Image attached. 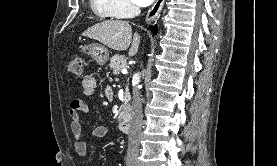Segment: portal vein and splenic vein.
<instances>
[{
    "mask_svg": "<svg viewBox=\"0 0 277 166\" xmlns=\"http://www.w3.org/2000/svg\"><path fill=\"white\" fill-rule=\"evenodd\" d=\"M122 73L123 74L127 73V70L126 69H122Z\"/></svg>",
    "mask_w": 277,
    "mask_h": 166,
    "instance_id": "obj_1",
    "label": "portal vein and splenic vein"
}]
</instances>
